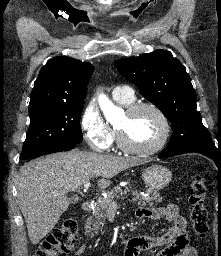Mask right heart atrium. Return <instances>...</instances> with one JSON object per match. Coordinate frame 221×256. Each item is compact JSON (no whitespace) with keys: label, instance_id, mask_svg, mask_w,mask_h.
<instances>
[{"label":"right heart atrium","instance_id":"right-heart-atrium-1","mask_svg":"<svg viewBox=\"0 0 221 256\" xmlns=\"http://www.w3.org/2000/svg\"><path fill=\"white\" fill-rule=\"evenodd\" d=\"M80 128L85 141L97 151L109 149L115 139L114 131L105 122L93 101L88 102L82 110Z\"/></svg>","mask_w":221,"mask_h":256}]
</instances>
